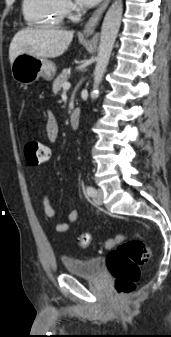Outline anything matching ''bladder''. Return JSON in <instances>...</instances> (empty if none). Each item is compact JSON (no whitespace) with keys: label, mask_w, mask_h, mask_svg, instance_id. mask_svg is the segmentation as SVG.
<instances>
[{"label":"bladder","mask_w":171,"mask_h":337,"mask_svg":"<svg viewBox=\"0 0 171 337\" xmlns=\"http://www.w3.org/2000/svg\"><path fill=\"white\" fill-rule=\"evenodd\" d=\"M63 266L68 274L95 278L101 274L102 262L100 258H75V257H64Z\"/></svg>","instance_id":"1"}]
</instances>
